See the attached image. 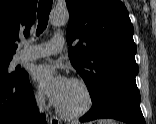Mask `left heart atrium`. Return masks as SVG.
<instances>
[{
  "instance_id": "39dd6f15",
  "label": "left heart atrium",
  "mask_w": 156,
  "mask_h": 124,
  "mask_svg": "<svg viewBox=\"0 0 156 124\" xmlns=\"http://www.w3.org/2000/svg\"><path fill=\"white\" fill-rule=\"evenodd\" d=\"M33 77L46 89L56 104L60 102L71 82L65 75L57 73L53 66L45 64L36 67Z\"/></svg>"
}]
</instances>
